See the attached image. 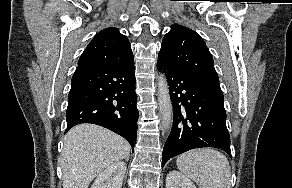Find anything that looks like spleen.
I'll use <instances>...</instances> for the list:
<instances>
[{
  "label": "spleen",
  "mask_w": 292,
  "mask_h": 188,
  "mask_svg": "<svg viewBox=\"0 0 292 188\" xmlns=\"http://www.w3.org/2000/svg\"><path fill=\"white\" fill-rule=\"evenodd\" d=\"M178 169L199 188H231L227 158L211 148L192 149L177 157Z\"/></svg>",
  "instance_id": "spleen-1"
}]
</instances>
